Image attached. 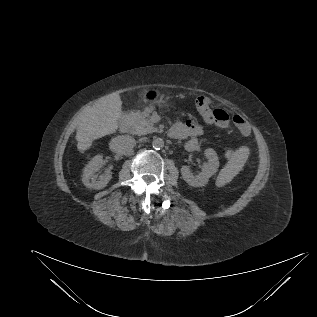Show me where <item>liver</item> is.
I'll use <instances>...</instances> for the list:
<instances>
[{
    "label": "liver",
    "mask_w": 317,
    "mask_h": 317,
    "mask_svg": "<svg viewBox=\"0 0 317 317\" xmlns=\"http://www.w3.org/2000/svg\"><path fill=\"white\" fill-rule=\"evenodd\" d=\"M122 114V101L117 92L98 99L83 109L76 129L77 148L81 153L88 150L93 141L115 133Z\"/></svg>",
    "instance_id": "1"
}]
</instances>
